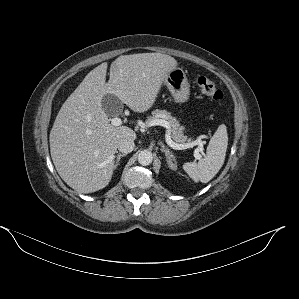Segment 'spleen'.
Masks as SVG:
<instances>
[{
    "instance_id": "3e777b00",
    "label": "spleen",
    "mask_w": 299,
    "mask_h": 299,
    "mask_svg": "<svg viewBox=\"0 0 299 299\" xmlns=\"http://www.w3.org/2000/svg\"><path fill=\"white\" fill-rule=\"evenodd\" d=\"M228 145L226 126L221 124L209 141L206 156L196 162H187L183 165L185 172L195 182H209L221 169Z\"/></svg>"
}]
</instances>
